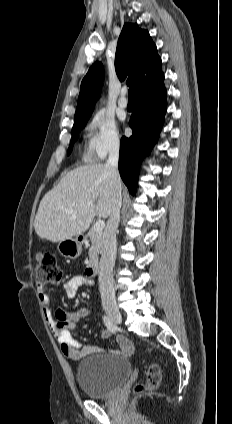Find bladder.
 <instances>
[{"instance_id":"bladder-1","label":"bladder","mask_w":232,"mask_h":424,"mask_svg":"<svg viewBox=\"0 0 232 424\" xmlns=\"http://www.w3.org/2000/svg\"><path fill=\"white\" fill-rule=\"evenodd\" d=\"M131 373V364L125 357L93 354L79 363L76 381L87 397L102 399L113 395Z\"/></svg>"}]
</instances>
